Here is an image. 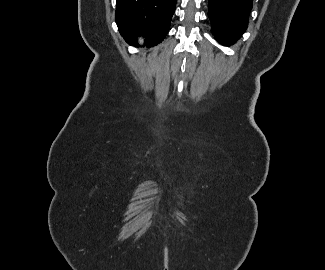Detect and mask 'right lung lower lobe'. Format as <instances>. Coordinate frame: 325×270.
<instances>
[{
	"mask_svg": "<svg viewBox=\"0 0 325 270\" xmlns=\"http://www.w3.org/2000/svg\"><path fill=\"white\" fill-rule=\"evenodd\" d=\"M115 20L128 42L143 35L147 46L161 42L170 28L176 0H116Z\"/></svg>",
	"mask_w": 325,
	"mask_h": 270,
	"instance_id": "obj_1",
	"label": "right lung lower lobe"
}]
</instances>
